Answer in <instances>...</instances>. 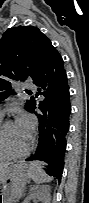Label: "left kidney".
I'll use <instances>...</instances> for the list:
<instances>
[{
    "label": "left kidney",
    "mask_w": 89,
    "mask_h": 203,
    "mask_svg": "<svg viewBox=\"0 0 89 203\" xmlns=\"http://www.w3.org/2000/svg\"><path fill=\"white\" fill-rule=\"evenodd\" d=\"M31 201L34 203H50V187L46 185L33 187L30 190V195L24 200L23 203H30Z\"/></svg>",
    "instance_id": "obj_1"
}]
</instances>
